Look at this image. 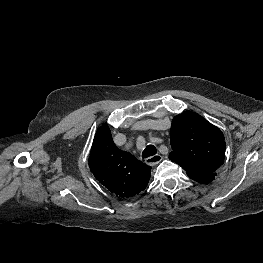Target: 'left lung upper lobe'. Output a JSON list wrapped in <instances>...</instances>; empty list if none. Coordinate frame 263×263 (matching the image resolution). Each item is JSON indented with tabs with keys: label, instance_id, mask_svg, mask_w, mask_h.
<instances>
[{
	"label": "left lung upper lobe",
	"instance_id": "5c2ea615",
	"mask_svg": "<svg viewBox=\"0 0 263 263\" xmlns=\"http://www.w3.org/2000/svg\"><path fill=\"white\" fill-rule=\"evenodd\" d=\"M225 138L202 116L185 111L174 117L170 130L173 151L169 159L192 177H214L225 158Z\"/></svg>",
	"mask_w": 263,
	"mask_h": 263
}]
</instances>
